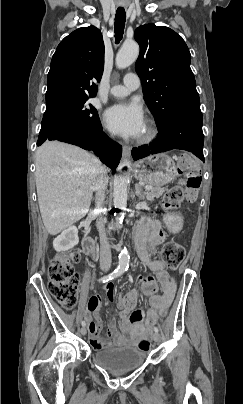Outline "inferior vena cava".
I'll return each mask as SVG.
<instances>
[{
  "label": "inferior vena cava",
  "instance_id": "1",
  "mask_svg": "<svg viewBox=\"0 0 243 404\" xmlns=\"http://www.w3.org/2000/svg\"><path fill=\"white\" fill-rule=\"evenodd\" d=\"M108 178L105 168H101L100 174L97 178V182L94 186L96 192L95 198V210L102 212L103 202H104V190H106ZM106 220L104 218H99L96 222L97 230L100 236V268L105 269L106 273L110 272L111 260V250L106 236L105 224Z\"/></svg>",
  "mask_w": 243,
  "mask_h": 404
}]
</instances>
